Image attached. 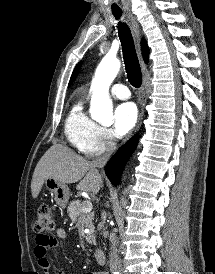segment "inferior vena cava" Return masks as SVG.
<instances>
[{
	"label": "inferior vena cava",
	"instance_id": "1",
	"mask_svg": "<svg viewBox=\"0 0 215 274\" xmlns=\"http://www.w3.org/2000/svg\"><path fill=\"white\" fill-rule=\"evenodd\" d=\"M115 149H116V142L113 138H111L107 143L105 153L101 157H98L95 160H93L91 162L92 166L94 168L104 167V165L108 161L111 154L115 151ZM109 256H110V258H109L110 269L113 270V271L120 270L121 269V261L119 259V256L117 254L116 249L113 246L110 248V255Z\"/></svg>",
	"mask_w": 215,
	"mask_h": 274
}]
</instances>
